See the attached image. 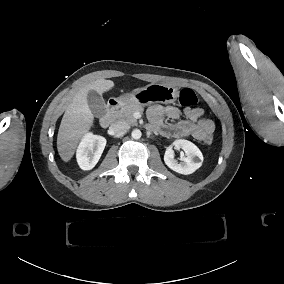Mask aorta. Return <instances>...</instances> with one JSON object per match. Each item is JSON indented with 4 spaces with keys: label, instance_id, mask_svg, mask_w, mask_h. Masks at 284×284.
<instances>
[{
    "label": "aorta",
    "instance_id": "aorta-1",
    "mask_svg": "<svg viewBox=\"0 0 284 284\" xmlns=\"http://www.w3.org/2000/svg\"><path fill=\"white\" fill-rule=\"evenodd\" d=\"M141 135H142V133H141V131L139 130V129H134L133 131H132V133H131V136H132V138L133 139H140L141 138Z\"/></svg>",
    "mask_w": 284,
    "mask_h": 284
}]
</instances>
